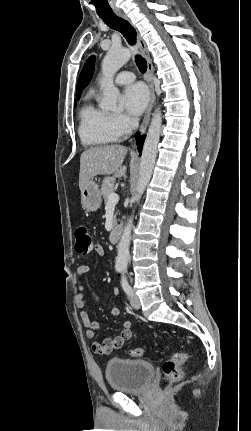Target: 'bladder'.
<instances>
[{
	"label": "bladder",
	"mask_w": 251,
	"mask_h": 431,
	"mask_svg": "<svg viewBox=\"0 0 251 431\" xmlns=\"http://www.w3.org/2000/svg\"><path fill=\"white\" fill-rule=\"evenodd\" d=\"M155 368L143 360L111 359L106 363L105 376L111 389L122 393L145 390L153 379Z\"/></svg>",
	"instance_id": "bladder-1"
}]
</instances>
